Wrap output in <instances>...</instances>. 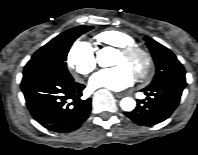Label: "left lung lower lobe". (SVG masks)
I'll return each instance as SVG.
<instances>
[{"label": "left lung lower lobe", "instance_id": "0a47b994", "mask_svg": "<svg viewBox=\"0 0 198 155\" xmlns=\"http://www.w3.org/2000/svg\"><path fill=\"white\" fill-rule=\"evenodd\" d=\"M185 86L184 81H167L146 87L142 91L147 95V101L137 100V107L125 115L138 125L158 124L177 108Z\"/></svg>", "mask_w": 198, "mask_h": 155}]
</instances>
